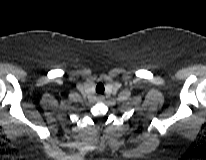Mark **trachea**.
I'll list each match as a JSON object with an SVG mask.
<instances>
[{
  "label": "trachea",
  "instance_id": "1",
  "mask_svg": "<svg viewBox=\"0 0 206 160\" xmlns=\"http://www.w3.org/2000/svg\"><path fill=\"white\" fill-rule=\"evenodd\" d=\"M104 90H105L104 85L101 82H99L96 86V92L98 94H103Z\"/></svg>",
  "mask_w": 206,
  "mask_h": 160
}]
</instances>
